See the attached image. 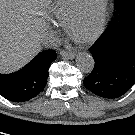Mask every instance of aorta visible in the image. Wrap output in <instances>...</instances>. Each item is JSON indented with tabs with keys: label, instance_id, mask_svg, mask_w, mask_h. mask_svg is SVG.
Segmentation results:
<instances>
[{
	"label": "aorta",
	"instance_id": "1",
	"mask_svg": "<svg viewBox=\"0 0 135 135\" xmlns=\"http://www.w3.org/2000/svg\"><path fill=\"white\" fill-rule=\"evenodd\" d=\"M77 67L84 73H91L94 69L95 61L92 55L82 52L76 58Z\"/></svg>",
	"mask_w": 135,
	"mask_h": 135
}]
</instances>
